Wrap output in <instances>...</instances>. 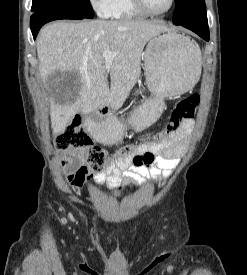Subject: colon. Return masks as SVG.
Masks as SVG:
<instances>
[{"mask_svg": "<svg viewBox=\"0 0 247 275\" xmlns=\"http://www.w3.org/2000/svg\"><path fill=\"white\" fill-rule=\"evenodd\" d=\"M199 103L200 97L198 94H191L179 100L172 109L164 130L155 134L152 139L160 140L164 136L175 132L183 122L192 119ZM55 145L62 151L81 153L88 171L92 174L100 172L108 161L106 152L93 145L92 138L78 118L74 119L56 136ZM137 148L133 145H124L116 151L115 158L134 157L135 161H141L142 158L136 155Z\"/></svg>", "mask_w": 247, "mask_h": 275, "instance_id": "obj_1", "label": "colon"}]
</instances>
